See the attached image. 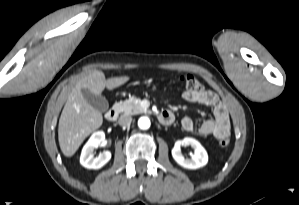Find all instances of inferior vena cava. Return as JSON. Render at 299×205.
<instances>
[{
	"label": "inferior vena cava",
	"instance_id": "1",
	"mask_svg": "<svg viewBox=\"0 0 299 205\" xmlns=\"http://www.w3.org/2000/svg\"><path fill=\"white\" fill-rule=\"evenodd\" d=\"M132 122V118L130 116L127 115H122L120 116L118 123L121 126H129Z\"/></svg>",
	"mask_w": 299,
	"mask_h": 205
}]
</instances>
